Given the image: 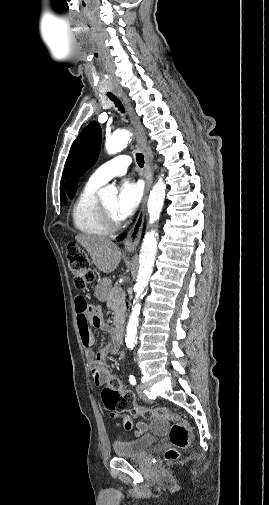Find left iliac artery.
Masks as SVG:
<instances>
[{"label": "left iliac artery", "mask_w": 269, "mask_h": 505, "mask_svg": "<svg viewBox=\"0 0 269 505\" xmlns=\"http://www.w3.org/2000/svg\"><path fill=\"white\" fill-rule=\"evenodd\" d=\"M129 382H130V384H132V385H135V384H136V378L134 377V375H132V374H131V375L129 376Z\"/></svg>", "instance_id": "left-iliac-artery-1"}]
</instances>
